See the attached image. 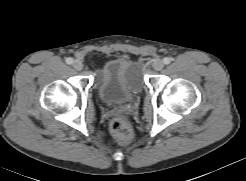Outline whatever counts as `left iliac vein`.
<instances>
[{
  "label": "left iliac vein",
  "mask_w": 246,
  "mask_h": 181,
  "mask_svg": "<svg viewBox=\"0 0 246 181\" xmlns=\"http://www.w3.org/2000/svg\"><path fill=\"white\" fill-rule=\"evenodd\" d=\"M152 66H153L154 70L160 71L164 67V62L162 60H160V59H157V60L154 61Z\"/></svg>",
  "instance_id": "1"
}]
</instances>
